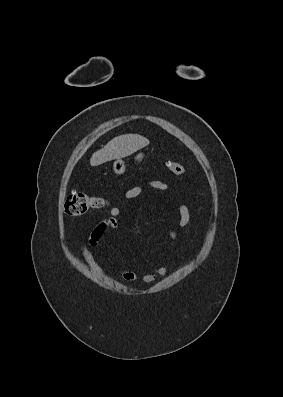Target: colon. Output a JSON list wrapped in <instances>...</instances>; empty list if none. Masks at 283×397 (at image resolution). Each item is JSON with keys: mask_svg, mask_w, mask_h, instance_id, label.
I'll use <instances>...</instances> for the list:
<instances>
[{"mask_svg": "<svg viewBox=\"0 0 283 397\" xmlns=\"http://www.w3.org/2000/svg\"><path fill=\"white\" fill-rule=\"evenodd\" d=\"M165 165L173 175H181L185 172L184 166L180 163L168 161ZM104 205L105 202L101 197L83 191H74L65 200L64 212L70 216H79L90 209L102 208Z\"/></svg>", "mask_w": 283, "mask_h": 397, "instance_id": "1", "label": "colon"}]
</instances>
